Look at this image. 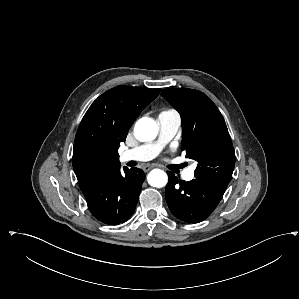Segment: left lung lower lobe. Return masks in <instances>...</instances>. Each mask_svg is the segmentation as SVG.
Masks as SVG:
<instances>
[{
  "mask_svg": "<svg viewBox=\"0 0 299 299\" xmlns=\"http://www.w3.org/2000/svg\"><path fill=\"white\" fill-rule=\"evenodd\" d=\"M165 198L171 213L186 223L206 219L216 208L225 191L203 179L178 180L167 172Z\"/></svg>",
  "mask_w": 299,
  "mask_h": 299,
  "instance_id": "0a47b994",
  "label": "left lung lower lobe"
}]
</instances>
